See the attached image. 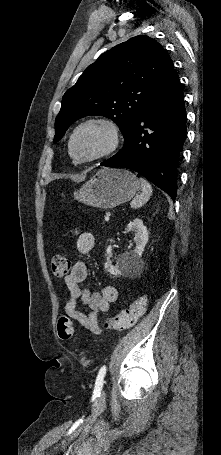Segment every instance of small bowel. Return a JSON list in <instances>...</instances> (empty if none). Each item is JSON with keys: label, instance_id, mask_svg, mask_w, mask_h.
Segmentation results:
<instances>
[{"label": "small bowel", "instance_id": "small-bowel-1", "mask_svg": "<svg viewBox=\"0 0 221 455\" xmlns=\"http://www.w3.org/2000/svg\"><path fill=\"white\" fill-rule=\"evenodd\" d=\"M94 245L95 238L92 233L86 231L76 233V249L79 253L88 254ZM87 276L86 264L80 260L74 261L70 273L64 278L67 288L64 312L90 332L100 334L102 329L98 316L109 311L111 304L117 299V289L114 286L106 285L100 292H97L82 287ZM79 303H82L87 309L85 311L80 310L78 308Z\"/></svg>", "mask_w": 221, "mask_h": 455}]
</instances>
